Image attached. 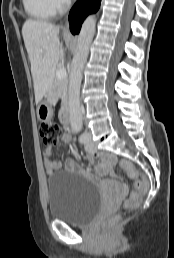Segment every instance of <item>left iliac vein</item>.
Masks as SVG:
<instances>
[{
	"label": "left iliac vein",
	"mask_w": 174,
	"mask_h": 258,
	"mask_svg": "<svg viewBox=\"0 0 174 258\" xmlns=\"http://www.w3.org/2000/svg\"><path fill=\"white\" fill-rule=\"evenodd\" d=\"M85 148L89 152L96 151V147L93 145V143L91 141V135L89 133H87V141L85 143Z\"/></svg>",
	"instance_id": "left-iliac-vein-1"
}]
</instances>
